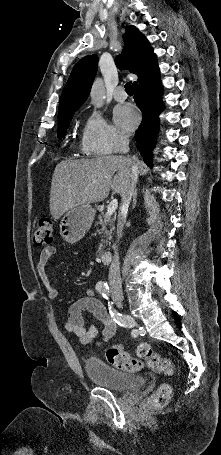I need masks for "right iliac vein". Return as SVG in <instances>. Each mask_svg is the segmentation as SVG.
<instances>
[{"label": "right iliac vein", "mask_w": 221, "mask_h": 455, "mask_svg": "<svg viewBox=\"0 0 221 455\" xmlns=\"http://www.w3.org/2000/svg\"><path fill=\"white\" fill-rule=\"evenodd\" d=\"M114 299L118 303H122L123 302V298L121 296H115Z\"/></svg>", "instance_id": "right-iliac-vein-1"}]
</instances>
